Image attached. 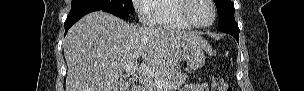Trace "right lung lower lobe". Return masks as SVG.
Returning a JSON list of instances; mask_svg holds the SVG:
<instances>
[{
  "mask_svg": "<svg viewBox=\"0 0 304 91\" xmlns=\"http://www.w3.org/2000/svg\"><path fill=\"white\" fill-rule=\"evenodd\" d=\"M100 10H102V9L95 7V6H90V5L71 7V11L65 21V34L68 32L69 28L74 23H76L80 18H82L84 15H86L90 12H93V11H100ZM102 11H105V10H102Z\"/></svg>",
  "mask_w": 304,
  "mask_h": 91,
  "instance_id": "right-lung-lower-lobe-1",
  "label": "right lung lower lobe"
}]
</instances>
